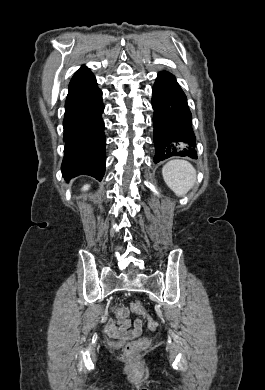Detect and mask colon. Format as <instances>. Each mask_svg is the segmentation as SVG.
<instances>
[{"mask_svg": "<svg viewBox=\"0 0 265 390\" xmlns=\"http://www.w3.org/2000/svg\"><path fill=\"white\" fill-rule=\"evenodd\" d=\"M130 309L132 312L142 315L146 318L147 326L150 330H155L157 328V322L146 314L145 309L141 304L132 303L130 305ZM113 311L116 317L120 319H126L129 315V310L124 307L116 306L114 307ZM145 344H146L145 339H140L127 344V346L125 347V355L127 357H134Z\"/></svg>", "mask_w": 265, "mask_h": 390, "instance_id": "5ec220e1", "label": "colon"}]
</instances>
